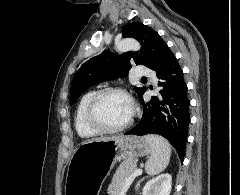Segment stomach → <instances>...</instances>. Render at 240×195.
<instances>
[{"instance_id":"obj_1","label":"stomach","mask_w":240,"mask_h":195,"mask_svg":"<svg viewBox=\"0 0 240 195\" xmlns=\"http://www.w3.org/2000/svg\"><path fill=\"white\" fill-rule=\"evenodd\" d=\"M146 137L113 135L112 139L82 141L69 161L65 195H99L100 189L117 161L136 159L150 153Z\"/></svg>"}]
</instances>
